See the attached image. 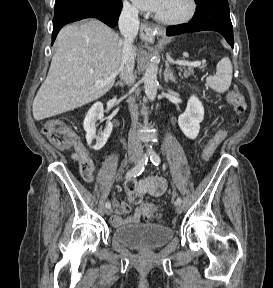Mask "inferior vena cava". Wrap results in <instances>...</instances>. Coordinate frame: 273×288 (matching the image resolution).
<instances>
[{
	"label": "inferior vena cava",
	"instance_id": "obj_1",
	"mask_svg": "<svg viewBox=\"0 0 273 288\" xmlns=\"http://www.w3.org/2000/svg\"><path fill=\"white\" fill-rule=\"evenodd\" d=\"M119 29L124 37L119 73L120 78L130 86L135 82L133 75L135 57L133 42L139 30L138 9L131 5H124L119 18ZM129 111L132 118V127L128 137V153L130 155L142 154L143 146L136 131L138 124L137 106L133 97L129 98Z\"/></svg>",
	"mask_w": 273,
	"mask_h": 288
}]
</instances>
